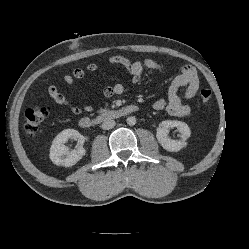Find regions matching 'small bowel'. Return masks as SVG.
<instances>
[{"label":"small bowel","instance_id":"c3829d8e","mask_svg":"<svg viewBox=\"0 0 249 249\" xmlns=\"http://www.w3.org/2000/svg\"><path fill=\"white\" fill-rule=\"evenodd\" d=\"M109 63L117 64L127 68L131 74L133 83H138L143 75L144 69H149L153 72H161L165 70V66L152 59H145L143 61H130L123 56H112L109 58ZM98 70L96 63H89L85 69L75 68L71 74H65L63 81L68 85H74L76 80H81L85 77L86 71L95 72ZM151 77L145 80V83L150 82ZM185 87L183 96L181 97L178 92L179 89ZM199 89V77L196 69L193 66L186 65L182 67L181 72L171 82L168 89L167 99H157L153 102L152 107L156 111H167L170 115L191 118L192 109L185 102L193 98ZM124 91L122 83H115L106 86L103 89L105 97L110 98L115 95H120ZM50 97L59 105L67 107L72 113L79 115L83 110L91 111L90 105L84 104L82 107L73 104L63 93L59 91L55 84H51L48 88Z\"/></svg>","mask_w":249,"mask_h":249}]
</instances>
